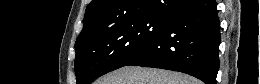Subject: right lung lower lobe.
<instances>
[{"instance_id":"obj_1","label":"right lung lower lobe","mask_w":260,"mask_h":84,"mask_svg":"<svg viewBox=\"0 0 260 84\" xmlns=\"http://www.w3.org/2000/svg\"><path fill=\"white\" fill-rule=\"evenodd\" d=\"M220 41L215 0H194L171 14L161 34L126 66L179 71L216 84Z\"/></svg>"}]
</instances>
